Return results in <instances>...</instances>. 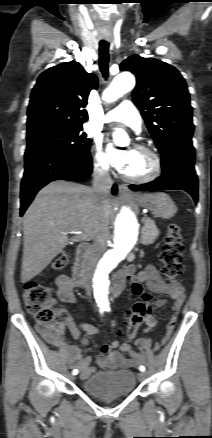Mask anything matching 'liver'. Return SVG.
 Wrapping results in <instances>:
<instances>
[{
	"instance_id": "liver-1",
	"label": "liver",
	"mask_w": 212,
	"mask_h": 438,
	"mask_svg": "<svg viewBox=\"0 0 212 438\" xmlns=\"http://www.w3.org/2000/svg\"><path fill=\"white\" fill-rule=\"evenodd\" d=\"M113 200H97L92 188L63 180L53 181L36 195L23 219L21 281L41 273L71 242L107 232ZM69 232H82L71 239Z\"/></svg>"
}]
</instances>
